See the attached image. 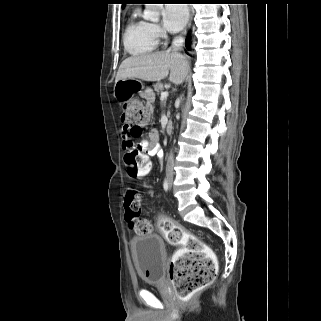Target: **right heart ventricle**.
Instances as JSON below:
<instances>
[{
  "mask_svg": "<svg viewBox=\"0 0 321 321\" xmlns=\"http://www.w3.org/2000/svg\"><path fill=\"white\" fill-rule=\"evenodd\" d=\"M125 50L131 55L153 52L158 45V37L151 31L150 23L141 19L135 10L126 24L123 34Z\"/></svg>",
  "mask_w": 321,
  "mask_h": 321,
  "instance_id": "obj_1",
  "label": "right heart ventricle"
}]
</instances>
